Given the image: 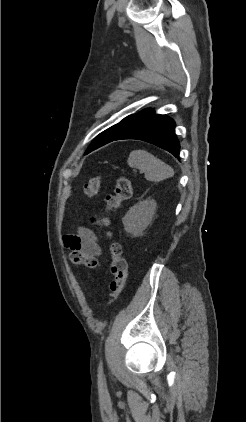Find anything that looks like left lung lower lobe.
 <instances>
[{
	"mask_svg": "<svg viewBox=\"0 0 246 422\" xmlns=\"http://www.w3.org/2000/svg\"><path fill=\"white\" fill-rule=\"evenodd\" d=\"M122 139L146 141L170 152L176 158L180 159V143L175 134V122L166 115L154 113L153 110L146 113L114 140Z\"/></svg>",
	"mask_w": 246,
	"mask_h": 422,
	"instance_id": "obj_1",
	"label": "left lung lower lobe"
}]
</instances>
